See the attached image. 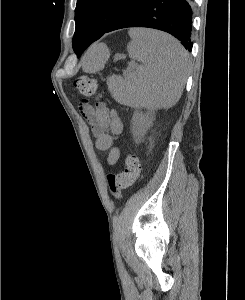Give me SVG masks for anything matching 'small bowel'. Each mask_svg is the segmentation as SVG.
I'll list each match as a JSON object with an SVG mask.
<instances>
[{"label":"small bowel","mask_w":245,"mask_h":300,"mask_svg":"<svg viewBox=\"0 0 245 300\" xmlns=\"http://www.w3.org/2000/svg\"><path fill=\"white\" fill-rule=\"evenodd\" d=\"M80 111L91 127L95 137L96 148L100 151H108L107 163L116 165L120 157V150L116 146V140L123 133V122L115 110L99 102L95 107L82 104Z\"/></svg>","instance_id":"c3829d8e"}]
</instances>
